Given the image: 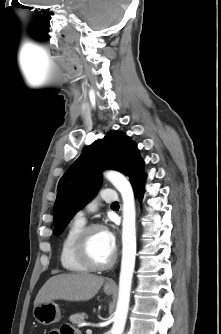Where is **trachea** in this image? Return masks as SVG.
<instances>
[{
	"mask_svg": "<svg viewBox=\"0 0 221 334\" xmlns=\"http://www.w3.org/2000/svg\"><path fill=\"white\" fill-rule=\"evenodd\" d=\"M114 205H119V204H118V202H114V203H112V206H114Z\"/></svg>",
	"mask_w": 221,
	"mask_h": 334,
	"instance_id": "1",
	"label": "trachea"
}]
</instances>
